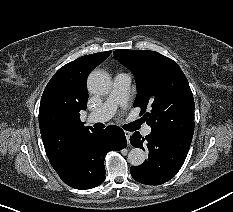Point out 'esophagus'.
I'll return each mask as SVG.
<instances>
[{"mask_svg":"<svg viewBox=\"0 0 233 212\" xmlns=\"http://www.w3.org/2000/svg\"><path fill=\"white\" fill-rule=\"evenodd\" d=\"M125 136H126L127 142L130 143V136H131V133L125 131Z\"/></svg>","mask_w":233,"mask_h":212,"instance_id":"34e87169","label":"esophagus"}]
</instances>
